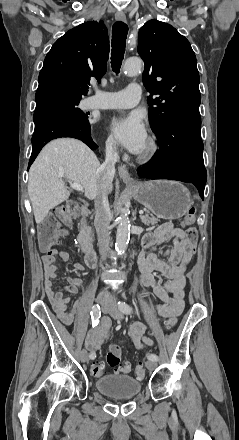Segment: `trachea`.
I'll return each mask as SVG.
<instances>
[{
    "mask_svg": "<svg viewBox=\"0 0 239 440\" xmlns=\"http://www.w3.org/2000/svg\"><path fill=\"white\" fill-rule=\"evenodd\" d=\"M128 26L122 21H117L112 27V52L111 67L118 74L124 58Z\"/></svg>",
    "mask_w": 239,
    "mask_h": 440,
    "instance_id": "obj_1",
    "label": "trachea"
}]
</instances>
